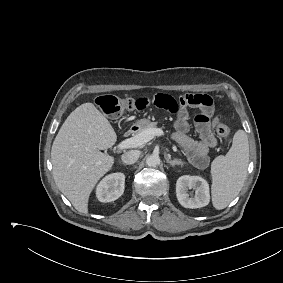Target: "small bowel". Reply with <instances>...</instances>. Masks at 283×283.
<instances>
[{
  "label": "small bowel",
  "mask_w": 283,
  "mask_h": 283,
  "mask_svg": "<svg viewBox=\"0 0 283 283\" xmlns=\"http://www.w3.org/2000/svg\"><path fill=\"white\" fill-rule=\"evenodd\" d=\"M154 106L175 115L173 139L183 149L189 160L198 168H205L209 163V150L216 146L217 140L212 130L211 117L213 102L206 94H186L179 99L158 93L150 98L136 99L133 111H142ZM195 108L199 113L195 116L196 128L200 140L189 136L188 109Z\"/></svg>",
  "instance_id": "c3829d8e"
}]
</instances>
